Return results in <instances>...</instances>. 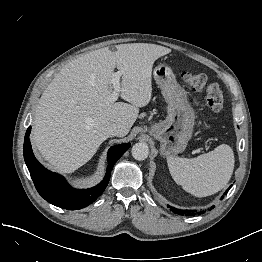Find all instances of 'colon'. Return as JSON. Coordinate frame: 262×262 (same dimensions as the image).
<instances>
[{
  "label": "colon",
  "instance_id": "colon-1",
  "mask_svg": "<svg viewBox=\"0 0 262 262\" xmlns=\"http://www.w3.org/2000/svg\"><path fill=\"white\" fill-rule=\"evenodd\" d=\"M182 78L190 89L206 92V103L213 114L222 109L224 94L218 84L210 83L207 76L199 72L185 71L182 73Z\"/></svg>",
  "mask_w": 262,
  "mask_h": 262
}]
</instances>
